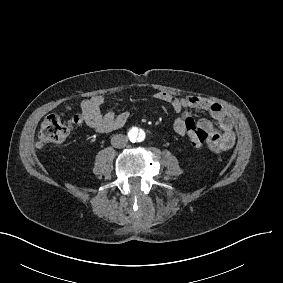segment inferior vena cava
Instances as JSON below:
<instances>
[{"label":"inferior vena cava","mask_w":283,"mask_h":283,"mask_svg":"<svg viewBox=\"0 0 283 283\" xmlns=\"http://www.w3.org/2000/svg\"><path fill=\"white\" fill-rule=\"evenodd\" d=\"M128 143V137L123 134H116L111 138V145L114 148H124Z\"/></svg>","instance_id":"inferior-vena-cava-1"}]
</instances>
